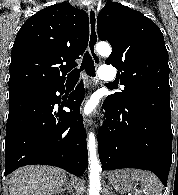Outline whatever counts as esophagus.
Wrapping results in <instances>:
<instances>
[{
  "instance_id": "esophagus-1",
  "label": "esophagus",
  "mask_w": 178,
  "mask_h": 195,
  "mask_svg": "<svg viewBox=\"0 0 178 195\" xmlns=\"http://www.w3.org/2000/svg\"><path fill=\"white\" fill-rule=\"evenodd\" d=\"M88 17H89V52L92 56L96 65L100 64V57L96 53V45L98 42V34H97V15L93 6L88 8ZM93 121L90 117H84V126L86 130L92 125Z\"/></svg>"
}]
</instances>
